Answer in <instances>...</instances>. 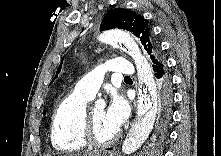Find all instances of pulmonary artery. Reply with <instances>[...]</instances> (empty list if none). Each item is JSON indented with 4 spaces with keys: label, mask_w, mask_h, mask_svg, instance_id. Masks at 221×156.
I'll list each match as a JSON object with an SVG mask.
<instances>
[{
    "label": "pulmonary artery",
    "mask_w": 221,
    "mask_h": 156,
    "mask_svg": "<svg viewBox=\"0 0 221 156\" xmlns=\"http://www.w3.org/2000/svg\"><path fill=\"white\" fill-rule=\"evenodd\" d=\"M130 76L134 73L133 65L125 58L118 57L107 61L82 77L76 84L75 89L93 98L100 88L106 73Z\"/></svg>",
    "instance_id": "1"
}]
</instances>
